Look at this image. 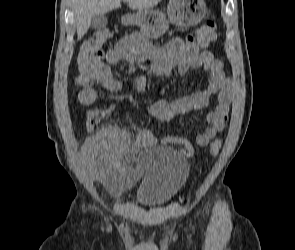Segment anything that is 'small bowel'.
<instances>
[{"instance_id": "small-bowel-1", "label": "small bowel", "mask_w": 295, "mask_h": 250, "mask_svg": "<svg viewBox=\"0 0 295 250\" xmlns=\"http://www.w3.org/2000/svg\"><path fill=\"white\" fill-rule=\"evenodd\" d=\"M149 61V72L162 77H169L173 69L177 68L180 74L190 69H204L210 75L206 90L176 100L159 99L149 106V112L157 121H167L175 117L188 115L190 112L208 106L210 98L217 95V102L213 111L206 115L209 127L197 133L195 141L198 146L205 147L210 141L217 138L229 118L232 94L230 83L223 71L222 62L212 53L202 48L196 39L188 35L185 38H173L164 46H152L146 38L134 33L128 35L111 49L104 51L99 48L93 55L91 70L80 69L76 80L79 87L78 99L81 104L90 106L100 99L98 86L116 92L123 88V83L116 79L108 64H119L127 61L138 65ZM144 76L134 79L133 89L143 90ZM110 107L106 113L113 110ZM130 132L114 127L104 128L89 137L83 147V169L93 181L101 182L111 192L121 193L130 188L142 177L139 166L124 168L121 159L130 155L134 157L139 146L152 147L159 140L147 128L140 127L126 116ZM134 143L131 144L130 140ZM160 142L165 145H178L186 155L193 153L192 143L178 136H165Z\"/></svg>"}]
</instances>
